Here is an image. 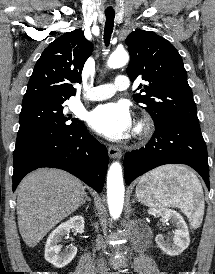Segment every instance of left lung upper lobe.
<instances>
[{
	"instance_id": "5c2ea615",
	"label": "left lung upper lobe",
	"mask_w": 215,
	"mask_h": 274,
	"mask_svg": "<svg viewBox=\"0 0 215 274\" xmlns=\"http://www.w3.org/2000/svg\"><path fill=\"white\" fill-rule=\"evenodd\" d=\"M130 53L127 74L131 81L142 77L148 84L135 94L155 125L180 121L199 125L196 104L187 82V73L176 48L163 37L151 31L136 30L126 39ZM139 85L138 89H141Z\"/></svg>"
}]
</instances>
